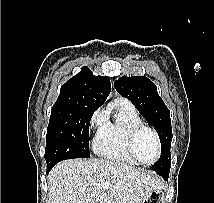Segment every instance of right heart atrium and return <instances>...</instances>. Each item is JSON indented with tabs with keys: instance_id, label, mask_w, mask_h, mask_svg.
Instances as JSON below:
<instances>
[{
	"instance_id": "obj_1",
	"label": "right heart atrium",
	"mask_w": 214,
	"mask_h": 203,
	"mask_svg": "<svg viewBox=\"0 0 214 203\" xmlns=\"http://www.w3.org/2000/svg\"><path fill=\"white\" fill-rule=\"evenodd\" d=\"M106 121V112L102 109H97L93 112L89 120V126L92 129L100 130Z\"/></svg>"
}]
</instances>
